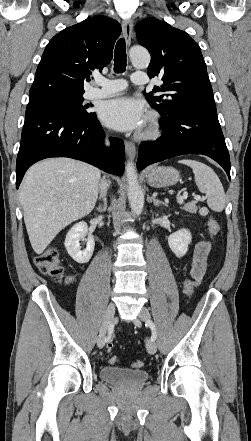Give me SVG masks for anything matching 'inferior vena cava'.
<instances>
[{"mask_svg":"<svg viewBox=\"0 0 251 441\" xmlns=\"http://www.w3.org/2000/svg\"><path fill=\"white\" fill-rule=\"evenodd\" d=\"M106 144H108L107 141H106ZM107 187H108V183H107L106 181L102 180L101 183H100V185H99V188H100V196H101V197H102V196L105 197V194H106V191H107Z\"/></svg>","mask_w":251,"mask_h":441,"instance_id":"obj_1","label":"inferior vena cava"}]
</instances>
